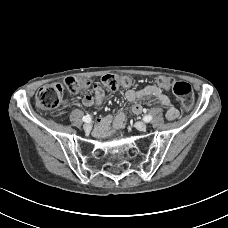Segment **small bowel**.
<instances>
[{"label": "small bowel", "mask_w": 228, "mask_h": 228, "mask_svg": "<svg viewBox=\"0 0 228 228\" xmlns=\"http://www.w3.org/2000/svg\"><path fill=\"white\" fill-rule=\"evenodd\" d=\"M104 93L99 86H94L92 93L83 97V104L88 107H97L102 104ZM127 101L133 103L131 111L134 114H140L143 107L137 103L139 100H144L148 104H157L166 108V117L169 120H174L178 117L179 112L172 103L170 97L157 85H148L140 90L128 89L125 92ZM126 113L119 112L115 116L106 115L98 120L100 130H107L111 124L116 128L122 129L125 126Z\"/></svg>", "instance_id": "c3829d8e"}]
</instances>
